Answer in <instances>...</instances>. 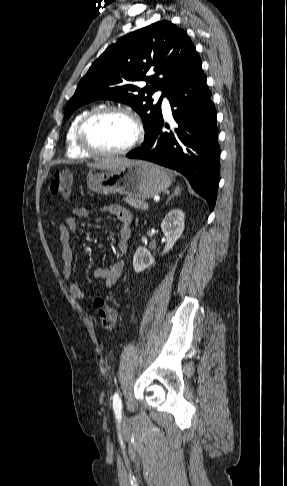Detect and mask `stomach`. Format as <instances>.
I'll list each match as a JSON object with an SVG mask.
<instances>
[{
    "label": "stomach",
    "instance_id": "stomach-1",
    "mask_svg": "<svg viewBox=\"0 0 287 486\" xmlns=\"http://www.w3.org/2000/svg\"><path fill=\"white\" fill-rule=\"evenodd\" d=\"M171 180L162 167L138 160H129L114 170L91 175L88 188L103 195L124 194L134 199H148L167 190Z\"/></svg>",
    "mask_w": 287,
    "mask_h": 486
}]
</instances>
